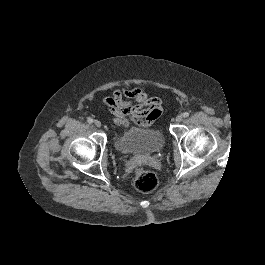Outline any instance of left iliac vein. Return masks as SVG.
<instances>
[{"instance_id":"4c4485c4","label":"left iliac vein","mask_w":265,"mask_h":265,"mask_svg":"<svg viewBox=\"0 0 265 265\" xmlns=\"http://www.w3.org/2000/svg\"><path fill=\"white\" fill-rule=\"evenodd\" d=\"M183 120V115L182 114H179L177 117H176V122H181Z\"/></svg>"}]
</instances>
